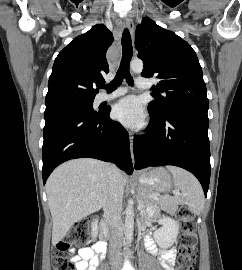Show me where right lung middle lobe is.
<instances>
[{
	"instance_id": "1",
	"label": "right lung middle lobe",
	"mask_w": 242,
	"mask_h": 270,
	"mask_svg": "<svg viewBox=\"0 0 242 270\" xmlns=\"http://www.w3.org/2000/svg\"><path fill=\"white\" fill-rule=\"evenodd\" d=\"M93 100L94 99L84 100V101L65 102V103H61V104L47 106L46 110H45V113L50 112V111H54V110H57V109H62V108L75 106V105H81L86 110H88L89 112L94 113V114L101 113L102 111L96 112V111L93 110Z\"/></svg>"
}]
</instances>
